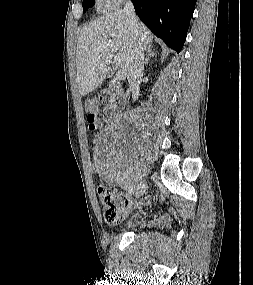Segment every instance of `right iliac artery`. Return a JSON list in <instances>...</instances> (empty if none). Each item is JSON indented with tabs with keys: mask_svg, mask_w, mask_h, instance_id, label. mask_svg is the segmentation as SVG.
<instances>
[{
	"mask_svg": "<svg viewBox=\"0 0 253 285\" xmlns=\"http://www.w3.org/2000/svg\"><path fill=\"white\" fill-rule=\"evenodd\" d=\"M128 193L129 195H132L134 193V188L133 187L129 188Z\"/></svg>",
	"mask_w": 253,
	"mask_h": 285,
	"instance_id": "82829eb1",
	"label": "right iliac artery"
}]
</instances>
